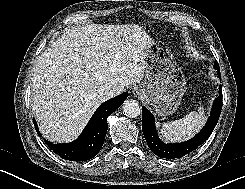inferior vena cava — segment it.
<instances>
[{"label":"inferior vena cava","instance_id":"602c4592","mask_svg":"<svg viewBox=\"0 0 245 189\" xmlns=\"http://www.w3.org/2000/svg\"><path fill=\"white\" fill-rule=\"evenodd\" d=\"M104 95L107 98H111L113 96L116 95V89L114 87H108L105 91H104Z\"/></svg>","mask_w":245,"mask_h":189}]
</instances>
